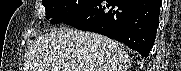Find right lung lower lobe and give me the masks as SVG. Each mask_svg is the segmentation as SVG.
<instances>
[{
  "instance_id": "obj_1",
  "label": "right lung lower lobe",
  "mask_w": 181,
  "mask_h": 71,
  "mask_svg": "<svg viewBox=\"0 0 181 71\" xmlns=\"http://www.w3.org/2000/svg\"><path fill=\"white\" fill-rule=\"evenodd\" d=\"M161 2L95 0L63 23L123 42L142 57H148L156 37Z\"/></svg>"
}]
</instances>
